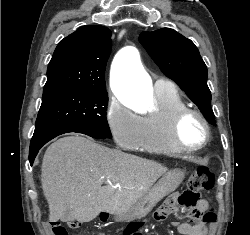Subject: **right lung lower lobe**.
<instances>
[{
  "label": "right lung lower lobe",
  "instance_id": "right-lung-lower-lobe-1",
  "mask_svg": "<svg viewBox=\"0 0 250 235\" xmlns=\"http://www.w3.org/2000/svg\"><path fill=\"white\" fill-rule=\"evenodd\" d=\"M68 132L83 133L93 138L105 139L104 136H101L97 133L66 124H47L35 127L29 150L30 164H33L38 151L40 150V148H42L43 145H45L51 139Z\"/></svg>",
  "mask_w": 250,
  "mask_h": 235
}]
</instances>
